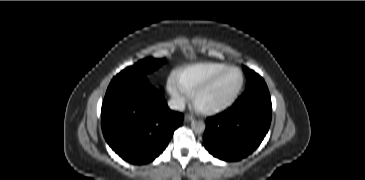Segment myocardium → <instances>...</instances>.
<instances>
[{
	"label": "myocardium",
	"mask_w": 365,
	"mask_h": 180,
	"mask_svg": "<svg viewBox=\"0 0 365 180\" xmlns=\"http://www.w3.org/2000/svg\"><path fill=\"white\" fill-rule=\"evenodd\" d=\"M229 70H237L241 75V83H240L237 91L235 92V94L232 96V98L229 101H227V102H225L221 105H217V106L210 107V108H202V107L198 106V104L196 102L197 96L201 92H203L204 90L209 88L221 75H223L225 72H227ZM245 82H246V77H245V74H244L243 70L238 66L229 65V66L225 67L224 69L218 71L214 75H212L204 83H202L200 86H198L191 93V100H192L194 106L196 107V109L198 111H200L201 113H204V114H217V113H220V112H223V111L229 109L230 107H232L237 102V100L239 99V97H240V95H241V93L244 89Z\"/></svg>",
	"instance_id": "obj_1"
}]
</instances>
